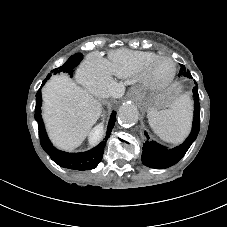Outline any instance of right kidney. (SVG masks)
<instances>
[{"instance_id":"right-kidney-1","label":"right kidney","mask_w":227,"mask_h":227,"mask_svg":"<svg viewBox=\"0 0 227 227\" xmlns=\"http://www.w3.org/2000/svg\"><path fill=\"white\" fill-rule=\"evenodd\" d=\"M101 131H102V129L97 126L90 132L88 139H89V143L91 145L95 144V142L97 141V139L99 138V136L101 134Z\"/></svg>"}]
</instances>
